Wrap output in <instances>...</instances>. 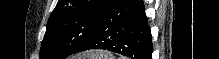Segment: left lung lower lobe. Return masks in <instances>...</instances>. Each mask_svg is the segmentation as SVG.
<instances>
[{
    "instance_id": "0a47b994",
    "label": "left lung lower lobe",
    "mask_w": 219,
    "mask_h": 59,
    "mask_svg": "<svg viewBox=\"0 0 219 59\" xmlns=\"http://www.w3.org/2000/svg\"><path fill=\"white\" fill-rule=\"evenodd\" d=\"M90 49L151 59L153 45L143 1L113 0L96 31L73 54Z\"/></svg>"
}]
</instances>
